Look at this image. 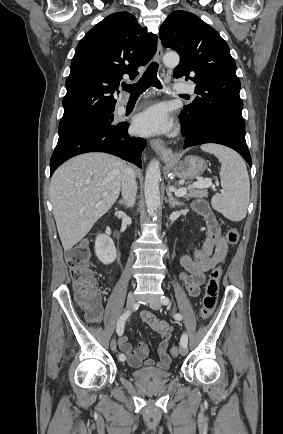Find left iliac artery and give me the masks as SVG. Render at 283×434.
<instances>
[{"label":"left iliac artery","instance_id":"left-iliac-artery-1","mask_svg":"<svg viewBox=\"0 0 283 434\" xmlns=\"http://www.w3.org/2000/svg\"><path fill=\"white\" fill-rule=\"evenodd\" d=\"M161 303H162L163 305H168V304L170 303V300H169L168 297H166V296H162V297H161ZM174 318H175L176 320H181V319H182V315L179 314V313H176V314L174 315ZM187 343H188V337H187V334H186V333H183L182 336H181L180 344H181V346H183V347H187Z\"/></svg>","mask_w":283,"mask_h":434}]
</instances>
